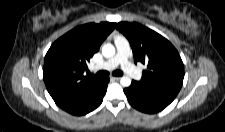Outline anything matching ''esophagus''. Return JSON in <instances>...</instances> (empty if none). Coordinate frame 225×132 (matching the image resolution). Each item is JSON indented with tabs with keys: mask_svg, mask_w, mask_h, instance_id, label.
Returning <instances> with one entry per match:
<instances>
[{
	"mask_svg": "<svg viewBox=\"0 0 225 132\" xmlns=\"http://www.w3.org/2000/svg\"><path fill=\"white\" fill-rule=\"evenodd\" d=\"M111 80L118 81V80H120V77L112 76V77H111Z\"/></svg>",
	"mask_w": 225,
	"mask_h": 132,
	"instance_id": "34e87169",
	"label": "esophagus"
}]
</instances>
